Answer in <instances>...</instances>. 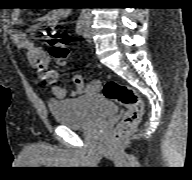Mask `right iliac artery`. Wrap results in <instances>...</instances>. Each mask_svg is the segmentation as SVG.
<instances>
[{"label": "right iliac artery", "mask_w": 192, "mask_h": 180, "mask_svg": "<svg viewBox=\"0 0 192 180\" xmlns=\"http://www.w3.org/2000/svg\"><path fill=\"white\" fill-rule=\"evenodd\" d=\"M88 14L86 12H81L77 23H76V32L81 34L84 30L85 24L87 22Z\"/></svg>", "instance_id": "1"}]
</instances>
